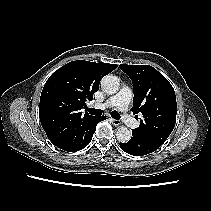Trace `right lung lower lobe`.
Here are the masks:
<instances>
[{
    "instance_id": "right-lung-lower-lobe-1",
    "label": "right lung lower lobe",
    "mask_w": 211,
    "mask_h": 211,
    "mask_svg": "<svg viewBox=\"0 0 211 211\" xmlns=\"http://www.w3.org/2000/svg\"><path fill=\"white\" fill-rule=\"evenodd\" d=\"M105 119V116L95 117L93 120L78 129L65 143L57 147L68 152H75L83 149L90 143L97 124Z\"/></svg>"
}]
</instances>
